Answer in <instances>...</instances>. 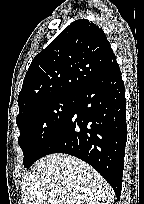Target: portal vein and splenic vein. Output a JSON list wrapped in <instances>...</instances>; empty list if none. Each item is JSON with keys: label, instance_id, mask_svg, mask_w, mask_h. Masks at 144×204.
<instances>
[{"label": "portal vein and splenic vein", "instance_id": "18ae733b", "mask_svg": "<svg viewBox=\"0 0 144 204\" xmlns=\"http://www.w3.org/2000/svg\"><path fill=\"white\" fill-rule=\"evenodd\" d=\"M49 195L52 196V195H54V193H53V192H50Z\"/></svg>", "mask_w": 144, "mask_h": 204}]
</instances>
